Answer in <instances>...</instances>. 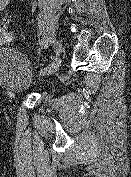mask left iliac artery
<instances>
[{
    "label": "left iliac artery",
    "instance_id": "left-iliac-artery-1",
    "mask_svg": "<svg viewBox=\"0 0 131 177\" xmlns=\"http://www.w3.org/2000/svg\"><path fill=\"white\" fill-rule=\"evenodd\" d=\"M47 56H50V53H47ZM53 63V60L52 59H48L47 60V65H51ZM47 68H43V70H41L40 73H42L43 71H45Z\"/></svg>",
    "mask_w": 131,
    "mask_h": 177
}]
</instances>
